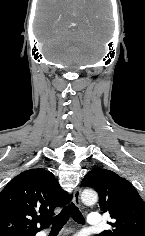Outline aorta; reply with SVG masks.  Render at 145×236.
<instances>
[{
  "label": "aorta",
  "mask_w": 145,
  "mask_h": 236,
  "mask_svg": "<svg viewBox=\"0 0 145 236\" xmlns=\"http://www.w3.org/2000/svg\"><path fill=\"white\" fill-rule=\"evenodd\" d=\"M81 200L85 205H93L98 200V195L94 190H84L81 194Z\"/></svg>",
  "instance_id": "1"
}]
</instances>
